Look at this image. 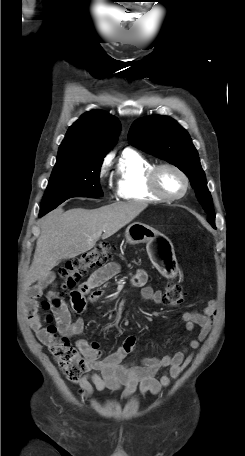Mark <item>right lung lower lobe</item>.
Wrapping results in <instances>:
<instances>
[{
	"mask_svg": "<svg viewBox=\"0 0 245 456\" xmlns=\"http://www.w3.org/2000/svg\"><path fill=\"white\" fill-rule=\"evenodd\" d=\"M44 214H39V217L43 216Z\"/></svg>",
	"mask_w": 245,
	"mask_h": 456,
	"instance_id": "right-lung-lower-lobe-1",
	"label": "right lung lower lobe"
}]
</instances>
